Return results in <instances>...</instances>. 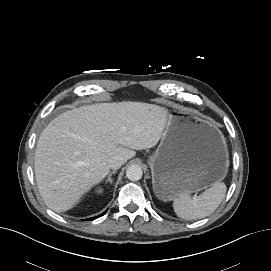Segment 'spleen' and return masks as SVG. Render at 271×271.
Returning a JSON list of instances; mask_svg holds the SVG:
<instances>
[{
    "mask_svg": "<svg viewBox=\"0 0 271 271\" xmlns=\"http://www.w3.org/2000/svg\"><path fill=\"white\" fill-rule=\"evenodd\" d=\"M227 187L223 182H215L199 196L190 197L181 193L174 199L176 215L185 220H197L212 214L223 201Z\"/></svg>",
    "mask_w": 271,
    "mask_h": 271,
    "instance_id": "1",
    "label": "spleen"
}]
</instances>
